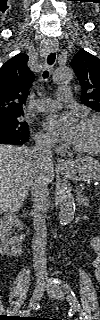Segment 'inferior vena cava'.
Listing matches in <instances>:
<instances>
[{"label":"inferior vena cava","instance_id":"inferior-vena-cava-1","mask_svg":"<svg viewBox=\"0 0 100 320\" xmlns=\"http://www.w3.org/2000/svg\"><path fill=\"white\" fill-rule=\"evenodd\" d=\"M35 147L31 153L39 164L51 163V142L46 138H37ZM31 194L34 205V229L35 235L32 241L33 266L38 281H44L48 277L46 266V221L45 213L50 207L48 181L43 170L38 169L31 180Z\"/></svg>","mask_w":100,"mask_h":320}]
</instances>
